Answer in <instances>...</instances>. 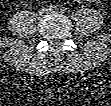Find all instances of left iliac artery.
Listing matches in <instances>:
<instances>
[{
	"mask_svg": "<svg viewBox=\"0 0 111 106\" xmlns=\"http://www.w3.org/2000/svg\"><path fill=\"white\" fill-rule=\"evenodd\" d=\"M60 11L63 12V13H65L67 11V8L65 6H61L60 7Z\"/></svg>",
	"mask_w": 111,
	"mask_h": 106,
	"instance_id": "left-iliac-artery-1",
	"label": "left iliac artery"
}]
</instances>
